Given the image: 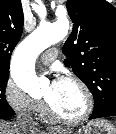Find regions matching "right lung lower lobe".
Returning <instances> with one entry per match:
<instances>
[{
    "label": "right lung lower lobe",
    "instance_id": "obj_1",
    "mask_svg": "<svg viewBox=\"0 0 116 134\" xmlns=\"http://www.w3.org/2000/svg\"><path fill=\"white\" fill-rule=\"evenodd\" d=\"M13 115H15V112H14V111H12L11 113L6 114V115H4V116H0V118L6 119V118H9V117H12Z\"/></svg>",
    "mask_w": 116,
    "mask_h": 134
}]
</instances>
